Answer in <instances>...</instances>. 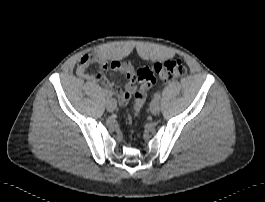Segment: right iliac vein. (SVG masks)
<instances>
[{
	"label": "right iliac vein",
	"mask_w": 265,
	"mask_h": 202,
	"mask_svg": "<svg viewBox=\"0 0 265 202\" xmlns=\"http://www.w3.org/2000/svg\"><path fill=\"white\" fill-rule=\"evenodd\" d=\"M106 108L109 112H113L117 108V102L113 98H109L106 102Z\"/></svg>",
	"instance_id": "63e3f726"
}]
</instances>
